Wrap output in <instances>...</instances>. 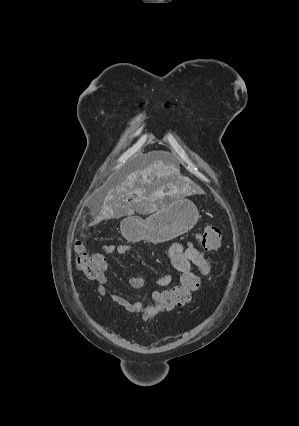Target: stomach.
Returning a JSON list of instances; mask_svg holds the SVG:
<instances>
[{
    "mask_svg": "<svg viewBox=\"0 0 299 426\" xmlns=\"http://www.w3.org/2000/svg\"><path fill=\"white\" fill-rule=\"evenodd\" d=\"M199 219L195 204L186 198H176L143 219L130 216L121 222V231L130 241L158 244L172 240L191 230Z\"/></svg>",
    "mask_w": 299,
    "mask_h": 426,
    "instance_id": "0dacf381",
    "label": "stomach"
}]
</instances>
